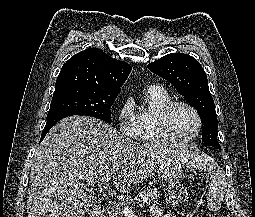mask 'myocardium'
<instances>
[{"label": "myocardium", "mask_w": 255, "mask_h": 217, "mask_svg": "<svg viewBox=\"0 0 255 217\" xmlns=\"http://www.w3.org/2000/svg\"><path fill=\"white\" fill-rule=\"evenodd\" d=\"M178 106H185V107L189 108L196 116L198 125H197L196 131L191 136H187V137L178 136L173 132V130L171 128L170 117H171L173 110ZM159 125H160L161 132L164 134V136L167 139L173 140V141H178V142H189V141L196 139L199 136V134L202 130V127H203V120H202V116H201L200 112L193 104H191L187 101H183V100H175V101H171L170 103H168L161 110V112L159 114Z\"/></svg>", "instance_id": "obj_1"}]
</instances>
